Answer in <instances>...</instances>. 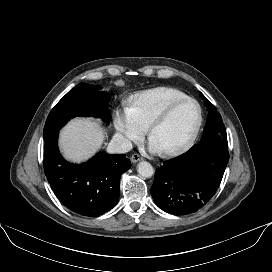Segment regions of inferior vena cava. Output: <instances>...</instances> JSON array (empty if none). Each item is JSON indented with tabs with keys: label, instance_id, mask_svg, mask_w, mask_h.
Returning <instances> with one entry per match:
<instances>
[{
	"label": "inferior vena cava",
	"instance_id": "inferior-vena-cava-1",
	"mask_svg": "<svg viewBox=\"0 0 272 272\" xmlns=\"http://www.w3.org/2000/svg\"><path fill=\"white\" fill-rule=\"evenodd\" d=\"M132 148L133 146L131 141L117 133L110 141L107 147V152L110 154H122L129 152Z\"/></svg>",
	"mask_w": 272,
	"mask_h": 272
}]
</instances>
